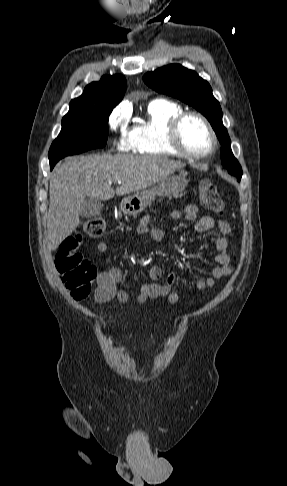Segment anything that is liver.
<instances>
[{
    "mask_svg": "<svg viewBox=\"0 0 287 486\" xmlns=\"http://www.w3.org/2000/svg\"><path fill=\"white\" fill-rule=\"evenodd\" d=\"M185 167L168 158L124 154L71 157L50 176V205L47 217L49 250H56L80 224L85 198L109 200L146 189ZM121 181L114 190L112 183Z\"/></svg>",
    "mask_w": 287,
    "mask_h": 486,
    "instance_id": "obj_1",
    "label": "liver"
}]
</instances>
